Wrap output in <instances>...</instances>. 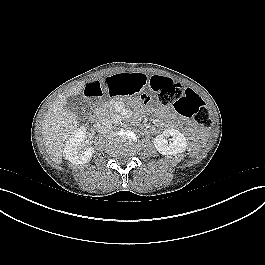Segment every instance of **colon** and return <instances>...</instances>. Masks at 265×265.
Segmentation results:
<instances>
[{
	"instance_id": "5ec220e1",
	"label": "colon",
	"mask_w": 265,
	"mask_h": 265,
	"mask_svg": "<svg viewBox=\"0 0 265 265\" xmlns=\"http://www.w3.org/2000/svg\"><path fill=\"white\" fill-rule=\"evenodd\" d=\"M151 83L154 95L145 93L142 96L146 104L157 100L164 106L173 105L180 115L194 118L201 127L211 126V116L203 99L192 89L183 88L179 83L165 77H154Z\"/></svg>"
}]
</instances>
